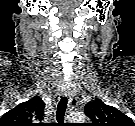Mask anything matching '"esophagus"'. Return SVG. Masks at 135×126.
Segmentation results:
<instances>
[{"label": "esophagus", "mask_w": 135, "mask_h": 126, "mask_svg": "<svg viewBox=\"0 0 135 126\" xmlns=\"http://www.w3.org/2000/svg\"><path fill=\"white\" fill-rule=\"evenodd\" d=\"M64 95L68 97V109L71 110L75 108L78 104V100L73 94L72 90L70 88H67L64 92Z\"/></svg>", "instance_id": "34e87169"}]
</instances>
